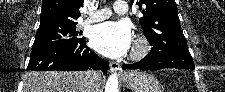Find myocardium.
Here are the masks:
<instances>
[{"label": "myocardium", "mask_w": 225, "mask_h": 92, "mask_svg": "<svg viewBox=\"0 0 225 92\" xmlns=\"http://www.w3.org/2000/svg\"><path fill=\"white\" fill-rule=\"evenodd\" d=\"M149 50L148 43L143 38H138L134 44L132 53H131V59L132 60H140L142 59Z\"/></svg>", "instance_id": "1"}]
</instances>
